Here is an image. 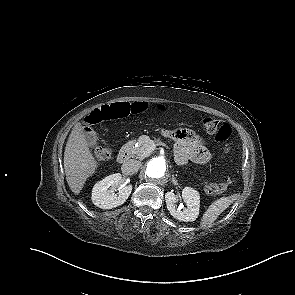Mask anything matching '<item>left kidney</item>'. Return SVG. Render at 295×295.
<instances>
[{
	"label": "left kidney",
	"instance_id": "5707ae66",
	"mask_svg": "<svg viewBox=\"0 0 295 295\" xmlns=\"http://www.w3.org/2000/svg\"><path fill=\"white\" fill-rule=\"evenodd\" d=\"M182 199L186 203L187 207H184L181 204L177 207L176 203L178 202V199L176 195L173 192H167L165 194V200L168 211L179 221H195L199 215V192L191 187H185L182 190Z\"/></svg>",
	"mask_w": 295,
	"mask_h": 295
}]
</instances>
